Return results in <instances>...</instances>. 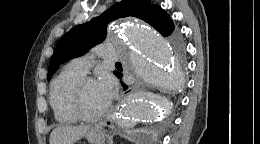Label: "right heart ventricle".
Listing matches in <instances>:
<instances>
[{
    "instance_id": "1",
    "label": "right heart ventricle",
    "mask_w": 260,
    "mask_h": 144,
    "mask_svg": "<svg viewBox=\"0 0 260 144\" xmlns=\"http://www.w3.org/2000/svg\"><path fill=\"white\" fill-rule=\"evenodd\" d=\"M83 75L69 64L58 73L51 83L50 105L56 121L60 124H71L77 121L69 109L68 102L73 86Z\"/></svg>"
}]
</instances>
